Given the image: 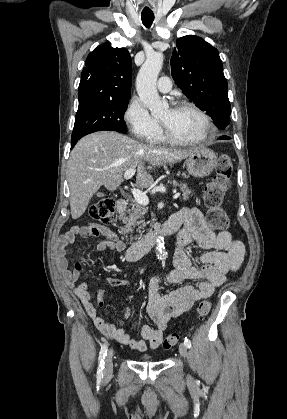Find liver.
I'll use <instances>...</instances> for the list:
<instances>
[{
  "label": "liver",
  "mask_w": 287,
  "mask_h": 419,
  "mask_svg": "<svg viewBox=\"0 0 287 419\" xmlns=\"http://www.w3.org/2000/svg\"><path fill=\"white\" fill-rule=\"evenodd\" d=\"M195 150L146 145L111 131L83 137L71 151L67 164L72 219L84 214L92 196L101 186L110 191L116 190L123 182L126 170L137 171L136 183L148 188L153 184V175L146 171V163L153 167L173 164Z\"/></svg>",
  "instance_id": "obj_1"
}]
</instances>
